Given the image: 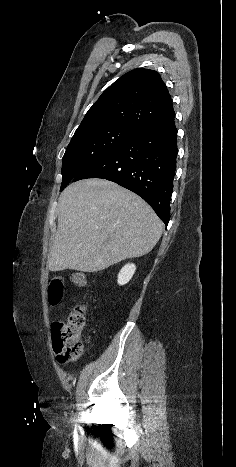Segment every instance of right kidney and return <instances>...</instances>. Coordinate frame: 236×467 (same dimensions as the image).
Instances as JSON below:
<instances>
[{"label":"right kidney","mask_w":236,"mask_h":467,"mask_svg":"<svg viewBox=\"0 0 236 467\" xmlns=\"http://www.w3.org/2000/svg\"><path fill=\"white\" fill-rule=\"evenodd\" d=\"M135 270H136V266L134 264H126L118 274V284L119 285L127 284L133 277Z\"/></svg>","instance_id":"1"}]
</instances>
